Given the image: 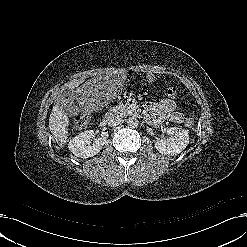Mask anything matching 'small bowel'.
Instances as JSON below:
<instances>
[{
  "label": "small bowel",
  "instance_id": "c3829d8e",
  "mask_svg": "<svg viewBox=\"0 0 247 247\" xmlns=\"http://www.w3.org/2000/svg\"><path fill=\"white\" fill-rule=\"evenodd\" d=\"M148 81H154L153 74L147 76ZM147 111V121L155 126L161 125L164 121L169 120L174 123H182L183 114L176 111V104L171 99H163L158 103L148 102L145 104Z\"/></svg>",
  "mask_w": 247,
  "mask_h": 247
}]
</instances>
